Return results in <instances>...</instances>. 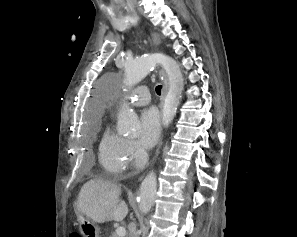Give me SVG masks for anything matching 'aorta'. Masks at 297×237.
Segmentation results:
<instances>
[{"instance_id": "1", "label": "aorta", "mask_w": 297, "mask_h": 237, "mask_svg": "<svg viewBox=\"0 0 297 237\" xmlns=\"http://www.w3.org/2000/svg\"><path fill=\"white\" fill-rule=\"evenodd\" d=\"M162 66L168 76L169 89L164 100L162 122L168 126L173 120L184 90V77L176 60L164 54H151L127 61L124 84L132 87L141 82L156 66ZM117 131L120 134L138 135L140 123L133 109L124 105L118 115ZM157 181L150 172L139 190V209L147 214L155 202Z\"/></svg>"}]
</instances>
